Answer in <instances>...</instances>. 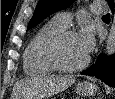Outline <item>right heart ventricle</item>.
I'll list each match as a JSON object with an SVG mask.
<instances>
[{"label": "right heart ventricle", "mask_w": 115, "mask_h": 99, "mask_svg": "<svg viewBox=\"0 0 115 99\" xmlns=\"http://www.w3.org/2000/svg\"><path fill=\"white\" fill-rule=\"evenodd\" d=\"M64 29L56 22L50 21L35 32L23 53V68L27 75L43 76L54 71L44 58L43 48L50 37Z\"/></svg>", "instance_id": "1"}]
</instances>
